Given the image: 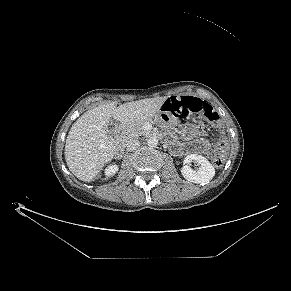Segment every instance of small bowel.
Returning <instances> with one entry per match:
<instances>
[{
    "label": "small bowel",
    "instance_id": "small-bowel-1",
    "mask_svg": "<svg viewBox=\"0 0 291 291\" xmlns=\"http://www.w3.org/2000/svg\"><path fill=\"white\" fill-rule=\"evenodd\" d=\"M186 97H191V96H186ZM198 145V149L202 152V153H206L208 154L210 151V145L208 143V141L201 139L197 142Z\"/></svg>",
    "mask_w": 291,
    "mask_h": 291
}]
</instances>
